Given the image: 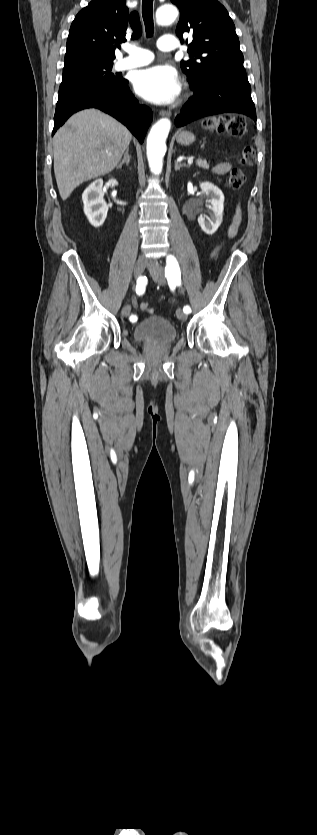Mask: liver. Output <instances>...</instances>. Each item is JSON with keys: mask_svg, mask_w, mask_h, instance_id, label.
<instances>
[{"mask_svg": "<svg viewBox=\"0 0 317 835\" xmlns=\"http://www.w3.org/2000/svg\"><path fill=\"white\" fill-rule=\"evenodd\" d=\"M131 139L124 125L97 109L74 114L53 138L54 173L62 200L82 182L110 173Z\"/></svg>", "mask_w": 317, "mask_h": 835, "instance_id": "liver-1", "label": "liver"}]
</instances>
